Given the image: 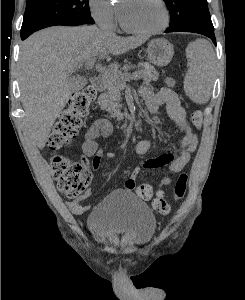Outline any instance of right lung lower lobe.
Wrapping results in <instances>:
<instances>
[{
    "label": "right lung lower lobe",
    "mask_w": 245,
    "mask_h": 300,
    "mask_svg": "<svg viewBox=\"0 0 245 300\" xmlns=\"http://www.w3.org/2000/svg\"><path fill=\"white\" fill-rule=\"evenodd\" d=\"M28 36H29V35H23V36H21V39L24 40V39H26Z\"/></svg>",
    "instance_id": "1"
}]
</instances>
